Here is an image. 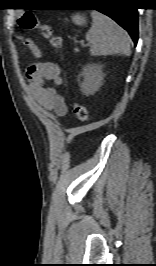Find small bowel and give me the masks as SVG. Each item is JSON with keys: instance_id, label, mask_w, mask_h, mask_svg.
Masks as SVG:
<instances>
[{"instance_id": "obj_1", "label": "small bowel", "mask_w": 156, "mask_h": 266, "mask_svg": "<svg viewBox=\"0 0 156 266\" xmlns=\"http://www.w3.org/2000/svg\"><path fill=\"white\" fill-rule=\"evenodd\" d=\"M26 76L35 104L51 116L65 117L67 114L65 99L55 88L63 84L59 65L50 61L33 64L28 67ZM48 82L52 85H48Z\"/></svg>"}]
</instances>
